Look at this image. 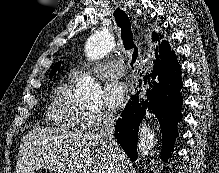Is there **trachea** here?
Returning a JSON list of instances; mask_svg holds the SVG:
<instances>
[{"label": "trachea", "instance_id": "obj_1", "mask_svg": "<svg viewBox=\"0 0 219 173\" xmlns=\"http://www.w3.org/2000/svg\"><path fill=\"white\" fill-rule=\"evenodd\" d=\"M114 17L117 23V26L121 29V39L123 42V45L126 50L133 49V54L131 58V66L133 67V64L136 62V59L138 57V49L134 44L133 41V33L131 28V22L129 17L125 12L117 8L114 11Z\"/></svg>", "mask_w": 219, "mask_h": 173}]
</instances>
